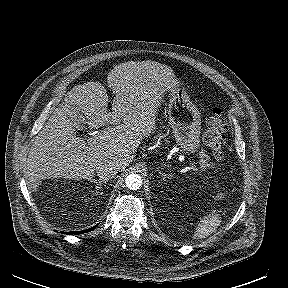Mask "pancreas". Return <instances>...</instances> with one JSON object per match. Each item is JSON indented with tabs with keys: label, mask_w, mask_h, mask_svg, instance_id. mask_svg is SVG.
<instances>
[{
	"label": "pancreas",
	"mask_w": 288,
	"mask_h": 288,
	"mask_svg": "<svg viewBox=\"0 0 288 288\" xmlns=\"http://www.w3.org/2000/svg\"><path fill=\"white\" fill-rule=\"evenodd\" d=\"M198 164H199L201 169L213 168V165L210 162V157L205 153H202L200 155V159L198 161Z\"/></svg>",
	"instance_id": "obj_1"
}]
</instances>
